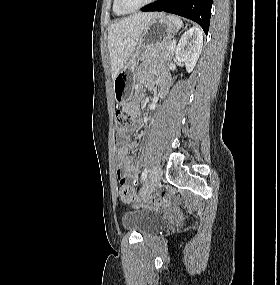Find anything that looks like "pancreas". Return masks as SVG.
I'll use <instances>...</instances> for the list:
<instances>
[{"label":"pancreas","instance_id":"obj_1","mask_svg":"<svg viewBox=\"0 0 280 285\" xmlns=\"http://www.w3.org/2000/svg\"><path fill=\"white\" fill-rule=\"evenodd\" d=\"M173 43L174 42H172L171 40H166L158 45H153L146 48L141 54V60L158 57L169 61L174 53V50L170 49V46Z\"/></svg>","mask_w":280,"mask_h":285}]
</instances>
